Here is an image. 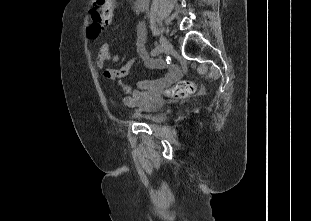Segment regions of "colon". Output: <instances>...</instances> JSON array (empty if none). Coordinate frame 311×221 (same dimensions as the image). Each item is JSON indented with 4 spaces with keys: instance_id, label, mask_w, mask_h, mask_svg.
Instances as JSON below:
<instances>
[{
    "instance_id": "colon-1",
    "label": "colon",
    "mask_w": 311,
    "mask_h": 221,
    "mask_svg": "<svg viewBox=\"0 0 311 221\" xmlns=\"http://www.w3.org/2000/svg\"><path fill=\"white\" fill-rule=\"evenodd\" d=\"M113 0H96L95 5H91L89 16L92 17L93 25H88L86 33L87 39H98L103 27L107 28L111 22V12ZM197 90L196 82L192 78L181 79L168 90V96L173 99L189 97Z\"/></svg>"
}]
</instances>
